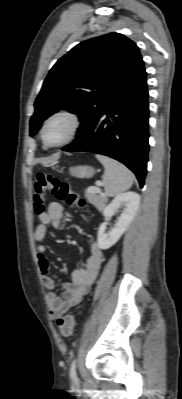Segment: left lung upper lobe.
I'll return each mask as SVG.
<instances>
[{
    "label": "left lung upper lobe",
    "instance_id": "1",
    "mask_svg": "<svg viewBox=\"0 0 182 399\" xmlns=\"http://www.w3.org/2000/svg\"><path fill=\"white\" fill-rule=\"evenodd\" d=\"M144 67L136 44L124 35L110 33L83 41L60 58L46 77L35 101L30 134L60 108H70L84 135L105 109L113 94Z\"/></svg>",
    "mask_w": 182,
    "mask_h": 399
}]
</instances>
